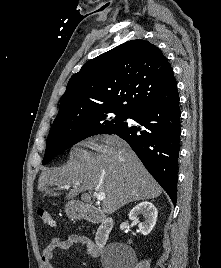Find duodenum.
Returning <instances> with one entry per match:
<instances>
[{"instance_id": "obj_1", "label": "duodenum", "mask_w": 221, "mask_h": 268, "mask_svg": "<svg viewBox=\"0 0 221 268\" xmlns=\"http://www.w3.org/2000/svg\"><path fill=\"white\" fill-rule=\"evenodd\" d=\"M80 214L83 219L99 224L95 235V245L99 250L102 249L107 243L112 231V219L105 217L100 210L92 206L83 207L80 211Z\"/></svg>"}]
</instances>
